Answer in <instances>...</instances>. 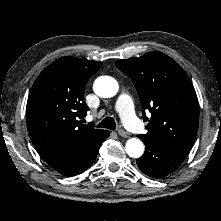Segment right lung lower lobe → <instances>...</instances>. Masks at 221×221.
Here are the masks:
<instances>
[{
    "mask_svg": "<svg viewBox=\"0 0 221 221\" xmlns=\"http://www.w3.org/2000/svg\"><path fill=\"white\" fill-rule=\"evenodd\" d=\"M108 136L109 132L105 131L83 142L65 144L39 152L59 173L66 176L78 175L94 163L101 144Z\"/></svg>",
    "mask_w": 221,
    "mask_h": 221,
    "instance_id": "obj_1",
    "label": "right lung lower lobe"
}]
</instances>
